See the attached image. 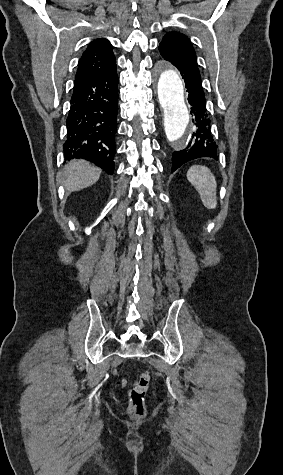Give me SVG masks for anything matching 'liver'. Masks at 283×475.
<instances>
[{
  "label": "liver",
  "mask_w": 283,
  "mask_h": 475,
  "mask_svg": "<svg viewBox=\"0 0 283 475\" xmlns=\"http://www.w3.org/2000/svg\"><path fill=\"white\" fill-rule=\"evenodd\" d=\"M67 180L64 182L67 190L78 192L88 186L96 184L100 178L101 170L96 166H91L86 160H72L64 168Z\"/></svg>",
  "instance_id": "liver-1"
}]
</instances>
